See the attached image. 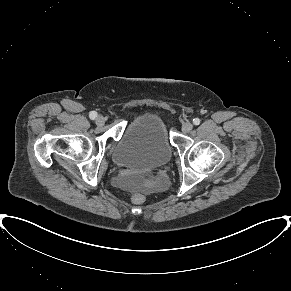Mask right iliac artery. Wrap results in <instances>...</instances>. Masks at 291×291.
I'll return each instance as SVG.
<instances>
[{"instance_id": "1", "label": "right iliac artery", "mask_w": 291, "mask_h": 291, "mask_svg": "<svg viewBox=\"0 0 291 291\" xmlns=\"http://www.w3.org/2000/svg\"><path fill=\"white\" fill-rule=\"evenodd\" d=\"M89 117L92 120L95 119L97 117V112H95V111L90 112Z\"/></svg>"}]
</instances>
